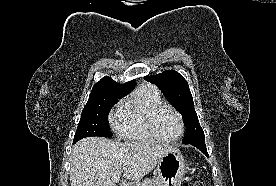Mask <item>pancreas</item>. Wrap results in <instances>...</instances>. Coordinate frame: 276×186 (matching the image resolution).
I'll return each mask as SVG.
<instances>
[{"label":"pancreas","instance_id":"pancreas-1","mask_svg":"<svg viewBox=\"0 0 276 186\" xmlns=\"http://www.w3.org/2000/svg\"><path fill=\"white\" fill-rule=\"evenodd\" d=\"M137 186H164L163 181L160 178H155V179H148L144 181L141 185Z\"/></svg>","mask_w":276,"mask_h":186}]
</instances>
